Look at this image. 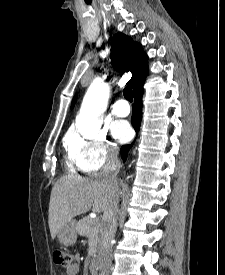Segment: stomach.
I'll use <instances>...</instances> for the list:
<instances>
[{"label": "stomach", "instance_id": "obj_1", "mask_svg": "<svg viewBox=\"0 0 225 275\" xmlns=\"http://www.w3.org/2000/svg\"><path fill=\"white\" fill-rule=\"evenodd\" d=\"M59 242L65 246L75 244L77 240V231L75 222H69L57 234Z\"/></svg>", "mask_w": 225, "mask_h": 275}]
</instances>
